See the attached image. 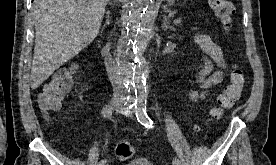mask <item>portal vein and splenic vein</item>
Returning <instances> with one entry per match:
<instances>
[{
  "instance_id": "1",
  "label": "portal vein and splenic vein",
  "mask_w": 276,
  "mask_h": 165,
  "mask_svg": "<svg viewBox=\"0 0 276 165\" xmlns=\"http://www.w3.org/2000/svg\"><path fill=\"white\" fill-rule=\"evenodd\" d=\"M181 21H182L181 18H177V19L174 20V23L178 24V23H181Z\"/></svg>"
}]
</instances>
